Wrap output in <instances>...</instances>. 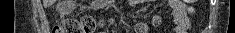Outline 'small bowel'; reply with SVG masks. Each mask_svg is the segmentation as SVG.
<instances>
[{
    "instance_id": "obj_1",
    "label": "small bowel",
    "mask_w": 235,
    "mask_h": 33,
    "mask_svg": "<svg viewBox=\"0 0 235 33\" xmlns=\"http://www.w3.org/2000/svg\"><path fill=\"white\" fill-rule=\"evenodd\" d=\"M169 6L171 8L174 32L188 33L190 30V21L186 4L181 0H169Z\"/></svg>"
}]
</instances>
